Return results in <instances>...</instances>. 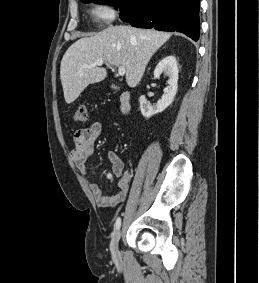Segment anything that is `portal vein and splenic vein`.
I'll list each match as a JSON object with an SVG mask.
<instances>
[{
    "mask_svg": "<svg viewBox=\"0 0 259 283\" xmlns=\"http://www.w3.org/2000/svg\"><path fill=\"white\" fill-rule=\"evenodd\" d=\"M103 59H98L97 61H95V63L94 64H92L91 66H101L102 64H103ZM125 72H126V69H125V67L124 66H120L119 68H118V74L120 75V76H124L125 75Z\"/></svg>",
    "mask_w": 259,
    "mask_h": 283,
    "instance_id": "1",
    "label": "portal vein and splenic vein"
}]
</instances>
